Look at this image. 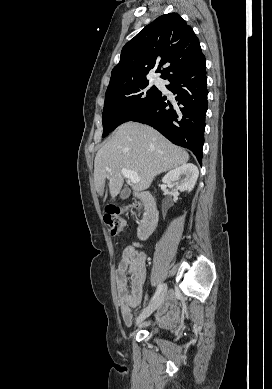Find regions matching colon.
Returning a JSON list of instances; mask_svg holds the SVG:
<instances>
[{"label": "colon", "mask_w": 272, "mask_h": 389, "mask_svg": "<svg viewBox=\"0 0 272 389\" xmlns=\"http://www.w3.org/2000/svg\"><path fill=\"white\" fill-rule=\"evenodd\" d=\"M139 207H140L139 203H133L131 205L132 209H138ZM104 221L112 235H115L118 232H120L124 225V221L121 217V210L116 207L107 209L104 215Z\"/></svg>", "instance_id": "5ec220e1"}]
</instances>
